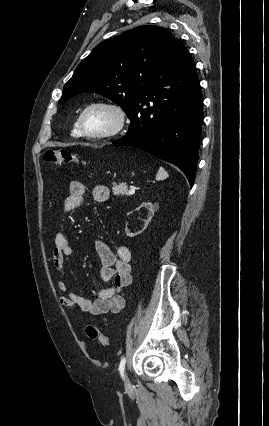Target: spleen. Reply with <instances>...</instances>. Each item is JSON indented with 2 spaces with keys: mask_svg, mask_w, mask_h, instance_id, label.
Returning a JSON list of instances; mask_svg holds the SVG:
<instances>
[{
  "mask_svg": "<svg viewBox=\"0 0 269 426\" xmlns=\"http://www.w3.org/2000/svg\"><path fill=\"white\" fill-rule=\"evenodd\" d=\"M167 177H168V173L165 171L163 167H160L156 174V180H164Z\"/></svg>",
  "mask_w": 269,
  "mask_h": 426,
  "instance_id": "spleen-1",
  "label": "spleen"
}]
</instances>
